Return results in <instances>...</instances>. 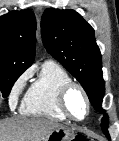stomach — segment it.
<instances>
[{
	"label": "stomach",
	"mask_w": 119,
	"mask_h": 141,
	"mask_svg": "<svg viewBox=\"0 0 119 141\" xmlns=\"http://www.w3.org/2000/svg\"><path fill=\"white\" fill-rule=\"evenodd\" d=\"M74 139L75 134L73 130L65 126H61L48 134L43 141H72Z\"/></svg>",
	"instance_id": "1"
}]
</instances>
